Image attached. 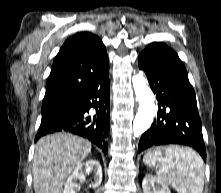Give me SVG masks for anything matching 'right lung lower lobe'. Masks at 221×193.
Here are the masks:
<instances>
[{"label":"right lung lower lobe","instance_id":"right-lung-lower-lobe-1","mask_svg":"<svg viewBox=\"0 0 221 193\" xmlns=\"http://www.w3.org/2000/svg\"><path fill=\"white\" fill-rule=\"evenodd\" d=\"M109 102V63L107 62L76 94L72 109L68 113L40 125L35 141L49 133L66 131L89 139L107 154ZM92 108L95 109V115L90 113Z\"/></svg>","mask_w":221,"mask_h":193}]
</instances>
